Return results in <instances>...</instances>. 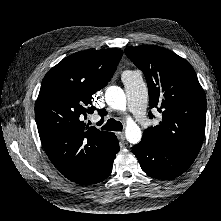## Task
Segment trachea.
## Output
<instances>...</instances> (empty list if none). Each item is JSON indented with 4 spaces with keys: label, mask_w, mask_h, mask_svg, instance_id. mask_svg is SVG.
Returning <instances> with one entry per match:
<instances>
[{
    "label": "trachea",
    "mask_w": 221,
    "mask_h": 221,
    "mask_svg": "<svg viewBox=\"0 0 221 221\" xmlns=\"http://www.w3.org/2000/svg\"><path fill=\"white\" fill-rule=\"evenodd\" d=\"M97 125L100 126L101 122H98ZM101 128L108 131H122L123 125L121 122L116 121L115 119H109Z\"/></svg>",
    "instance_id": "trachea-1"
}]
</instances>
